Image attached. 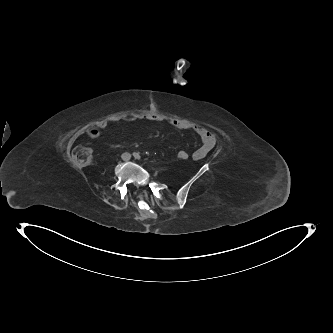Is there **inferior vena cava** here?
<instances>
[{
  "label": "inferior vena cava",
  "instance_id": "obj_1",
  "mask_svg": "<svg viewBox=\"0 0 333 333\" xmlns=\"http://www.w3.org/2000/svg\"><path fill=\"white\" fill-rule=\"evenodd\" d=\"M122 157H123V159H124L125 161H128V160H130V158H131V154L128 153V152H126V153H124V154L122 155Z\"/></svg>",
  "mask_w": 333,
  "mask_h": 333
}]
</instances>
